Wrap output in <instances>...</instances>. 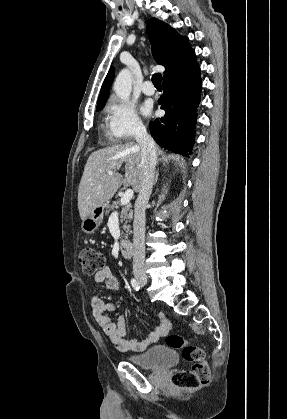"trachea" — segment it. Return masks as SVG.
I'll use <instances>...</instances> for the list:
<instances>
[{"label": "trachea", "instance_id": "trachea-1", "mask_svg": "<svg viewBox=\"0 0 287 419\" xmlns=\"http://www.w3.org/2000/svg\"><path fill=\"white\" fill-rule=\"evenodd\" d=\"M161 79H162V76L160 73H155L152 76V82L156 88H161Z\"/></svg>", "mask_w": 287, "mask_h": 419}]
</instances>
